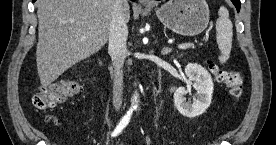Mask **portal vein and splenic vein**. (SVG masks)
<instances>
[{"instance_id":"obj_1","label":"portal vein and splenic vein","mask_w":276,"mask_h":145,"mask_svg":"<svg viewBox=\"0 0 276 145\" xmlns=\"http://www.w3.org/2000/svg\"><path fill=\"white\" fill-rule=\"evenodd\" d=\"M84 39H86V37H82V40H84ZM193 46H194V44L189 42V43H183V44L178 45V48L179 49H188Z\"/></svg>"}]
</instances>
